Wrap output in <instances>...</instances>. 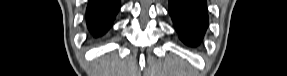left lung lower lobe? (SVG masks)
<instances>
[{"instance_id":"1","label":"left lung lower lobe","mask_w":287,"mask_h":76,"mask_svg":"<svg viewBox=\"0 0 287 76\" xmlns=\"http://www.w3.org/2000/svg\"><path fill=\"white\" fill-rule=\"evenodd\" d=\"M169 13L179 38L189 46L198 45L206 31L205 0H169Z\"/></svg>"}]
</instances>
